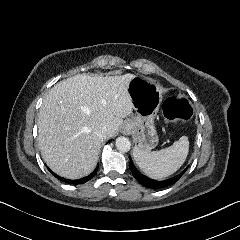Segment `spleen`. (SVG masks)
<instances>
[{
	"label": "spleen",
	"mask_w": 240,
	"mask_h": 240,
	"mask_svg": "<svg viewBox=\"0 0 240 240\" xmlns=\"http://www.w3.org/2000/svg\"><path fill=\"white\" fill-rule=\"evenodd\" d=\"M190 152V141L184 135L168 148L159 151H141L133 148V157L139 168L154 180L168 178L175 174L185 163Z\"/></svg>",
	"instance_id": "obj_1"
}]
</instances>
